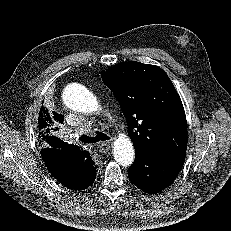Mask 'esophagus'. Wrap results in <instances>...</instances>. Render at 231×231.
Here are the masks:
<instances>
[{"mask_svg": "<svg viewBox=\"0 0 231 231\" xmlns=\"http://www.w3.org/2000/svg\"><path fill=\"white\" fill-rule=\"evenodd\" d=\"M111 148V142H100L98 144V151L100 153H107Z\"/></svg>", "mask_w": 231, "mask_h": 231, "instance_id": "1", "label": "esophagus"}]
</instances>
